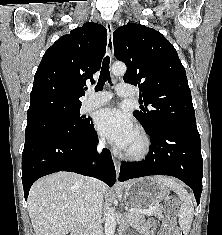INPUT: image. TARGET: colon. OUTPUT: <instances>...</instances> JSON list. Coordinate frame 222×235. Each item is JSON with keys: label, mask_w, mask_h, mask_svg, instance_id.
<instances>
[{"label": "colon", "mask_w": 222, "mask_h": 235, "mask_svg": "<svg viewBox=\"0 0 222 235\" xmlns=\"http://www.w3.org/2000/svg\"><path fill=\"white\" fill-rule=\"evenodd\" d=\"M177 209V202L171 201L166 207V219L160 229L159 235H183L176 224L173 212Z\"/></svg>", "instance_id": "1"}]
</instances>
